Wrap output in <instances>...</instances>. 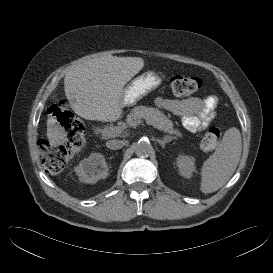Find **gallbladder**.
Wrapping results in <instances>:
<instances>
[{
    "label": "gallbladder",
    "mask_w": 273,
    "mask_h": 273,
    "mask_svg": "<svg viewBox=\"0 0 273 273\" xmlns=\"http://www.w3.org/2000/svg\"><path fill=\"white\" fill-rule=\"evenodd\" d=\"M68 102H69L68 98L65 97V98H63L62 101H60L59 104H60L61 107L67 109L70 106Z\"/></svg>",
    "instance_id": "bac80fb5"
}]
</instances>
